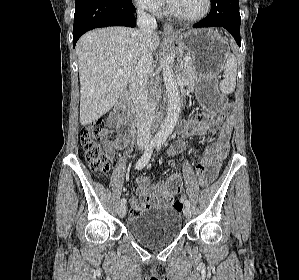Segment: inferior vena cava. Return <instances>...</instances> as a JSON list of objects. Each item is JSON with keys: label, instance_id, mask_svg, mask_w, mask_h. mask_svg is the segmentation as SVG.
Instances as JSON below:
<instances>
[{"label": "inferior vena cava", "instance_id": "obj_1", "mask_svg": "<svg viewBox=\"0 0 299 280\" xmlns=\"http://www.w3.org/2000/svg\"><path fill=\"white\" fill-rule=\"evenodd\" d=\"M139 60L129 80V89L136 110L137 142L145 145L151 139L154 105L149 101L146 84L152 72L151 35L157 27L156 19L143 9L137 10Z\"/></svg>", "mask_w": 299, "mask_h": 280}]
</instances>
